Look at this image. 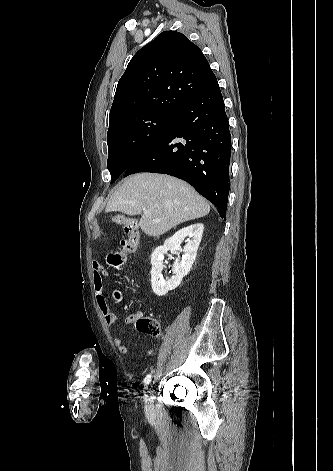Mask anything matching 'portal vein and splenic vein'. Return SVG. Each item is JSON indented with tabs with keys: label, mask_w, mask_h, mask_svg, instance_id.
<instances>
[{
	"label": "portal vein and splenic vein",
	"mask_w": 333,
	"mask_h": 471,
	"mask_svg": "<svg viewBox=\"0 0 333 471\" xmlns=\"http://www.w3.org/2000/svg\"><path fill=\"white\" fill-rule=\"evenodd\" d=\"M144 213H145V214H147V213H148V211H147V210H144ZM156 222H159V220H156Z\"/></svg>",
	"instance_id": "portal-vein-and-splenic-vein-1"
}]
</instances>
